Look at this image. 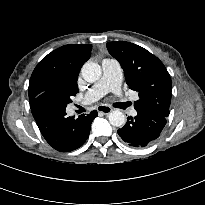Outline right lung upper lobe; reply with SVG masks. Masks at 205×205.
<instances>
[{"instance_id":"right-lung-upper-lobe-1","label":"right lung upper lobe","mask_w":205,"mask_h":205,"mask_svg":"<svg viewBox=\"0 0 205 205\" xmlns=\"http://www.w3.org/2000/svg\"><path fill=\"white\" fill-rule=\"evenodd\" d=\"M91 44L64 45L45 56L34 69L29 82V101L50 90L62 92L68 80H76L82 65L90 58Z\"/></svg>"}]
</instances>
